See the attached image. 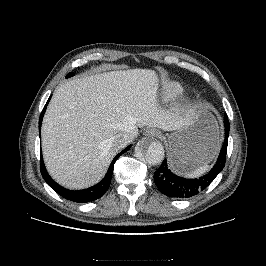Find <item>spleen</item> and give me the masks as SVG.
<instances>
[{
    "label": "spleen",
    "mask_w": 266,
    "mask_h": 266,
    "mask_svg": "<svg viewBox=\"0 0 266 266\" xmlns=\"http://www.w3.org/2000/svg\"><path fill=\"white\" fill-rule=\"evenodd\" d=\"M210 169V166L209 165H204V166H201L199 168H197L196 170L190 172V173H187L186 176L187 177H198L200 175H203L204 173H206L208 170Z\"/></svg>",
    "instance_id": "spleen-1"
}]
</instances>
